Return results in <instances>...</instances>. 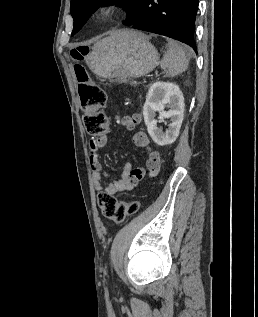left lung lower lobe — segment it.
<instances>
[{
	"label": "left lung lower lobe",
	"instance_id": "obj_1",
	"mask_svg": "<svg viewBox=\"0 0 258 317\" xmlns=\"http://www.w3.org/2000/svg\"><path fill=\"white\" fill-rule=\"evenodd\" d=\"M199 0H142L127 24L135 29L164 35L191 46Z\"/></svg>",
	"mask_w": 258,
	"mask_h": 317
}]
</instances>
